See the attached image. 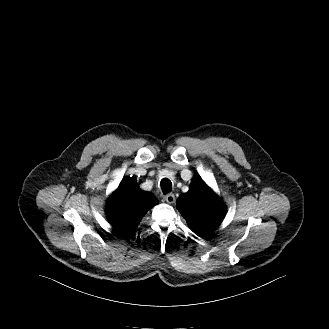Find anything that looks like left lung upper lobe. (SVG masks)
Returning a JSON list of instances; mask_svg holds the SVG:
<instances>
[{
  "instance_id": "1",
  "label": "left lung upper lobe",
  "mask_w": 329,
  "mask_h": 329,
  "mask_svg": "<svg viewBox=\"0 0 329 329\" xmlns=\"http://www.w3.org/2000/svg\"><path fill=\"white\" fill-rule=\"evenodd\" d=\"M176 207L200 237L219 226L226 212L225 205L199 176L194 177L189 191L179 196Z\"/></svg>"
}]
</instances>
